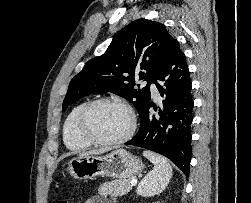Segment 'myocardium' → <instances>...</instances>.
Here are the masks:
<instances>
[{"mask_svg":"<svg viewBox=\"0 0 251 203\" xmlns=\"http://www.w3.org/2000/svg\"><path fill=\"white\" fill-rule=\"evenodd\" d=\"M102 103L118 104L121 107H123L129 115L130 125L128 130L122 136L116 139L112 140L98 139L87 131L86 120L89 112L92 110L93 107ZM136 127H137V119L132 107L124 100L114 96L100 97L87 102L79 111L75 122V130L77 135L90 145H97V146H116L122 144L128 141L134 135Z\"/></svg>","mask_w":251,"mask_h":203,"instance_id":"myocardium-1","label":"myocardium"}]
</instances>
